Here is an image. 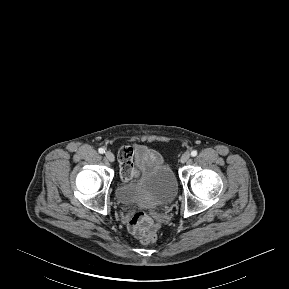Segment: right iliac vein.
Masks as SVG:
<instances>
[{"instance_id":"1","label":"right iliac vein","mask_w":289,"mask_h":289,"mask_svg":"<svg viewBox=\"0 0 289 289\" xmlns=\"http://www.w3.org/2000/svg\"><path fill=\"white\" fill-rule=\"evenodd\" d=\"M105 156H106V158H107L108 161L114 162L115 157H114V154H113L112 152L107 151V152L105 153Z\"/></svg>"}]
</instances>
